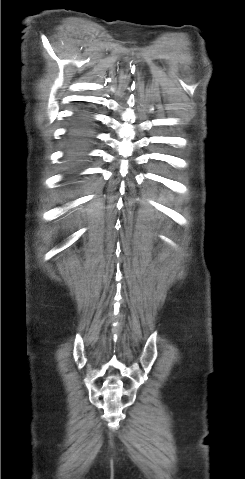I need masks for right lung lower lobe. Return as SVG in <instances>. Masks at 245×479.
I'll return each mask as SVG.
<instances>
[{"instance_id": "obj_1", "label": "right lung lower lobe", "mask_w": 245, "mask_h": 479, "mask_svg": "<svg viewBox=\"0 0 245 479\" xmlns=\"http://www.w3.org/2000/svg\"><path fill=\"white\" fill-rule=\"evenodd\" d=\"M94 119L87 110H81L70 122L66 136L65 164L67 180L72 182L86 159V154L94 139Z\"/></svg>"}]
</instances>
